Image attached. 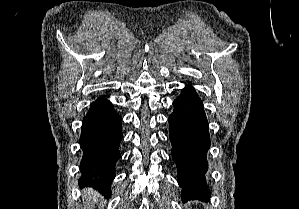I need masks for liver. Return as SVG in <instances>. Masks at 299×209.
I'll use <instances>...</instances> for the list:
<instances>
[{
    "mask_svg": "<svg viewBox=\"0 0 299 209\" xmlns=\"http://www.w3.org/2000/svg\"><path fill=\"white\" fill-rule=\"evenodd\" d=\"M84 193L86 194V196L88 194L87 203L90 202L91 200L93 202H97L98 201V195L95 194L93 191H84Z\"/></svg>",
    "mask_w": 299,
    "mask_h": 209,
    "instance_id": "liver-1",
    "label": "liver"
}]
</instances>
